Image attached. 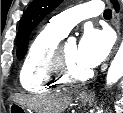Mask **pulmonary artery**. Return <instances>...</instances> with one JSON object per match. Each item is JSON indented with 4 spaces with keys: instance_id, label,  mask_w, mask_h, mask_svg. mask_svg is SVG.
<instances>
[{
    "instance_id": "e3ab8cb5",
    "label": "pulmonary artery",
    "mask_w": 123,
    "mask_h": 113,
    "mask_svg": "<svg viewBox=\"0 0 123 113\" xmlns=\"http://www.w3.org/2000/svg\"><path fill=\"white\" fill-rule=\"evenodd\" d=\"M102 10V1L80 4L51 18L48 26L66 35L74 25L86 18L99 15Z\"/></svg>"
}]
</instances>
